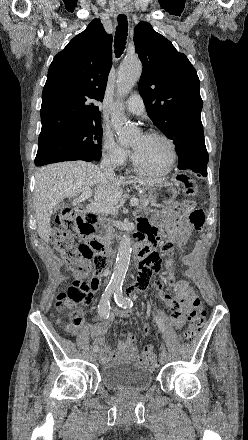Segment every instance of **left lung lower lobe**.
Wrapping results in <instances>:
<instances>
[{
    "mask_svg": "<svg viewBox=\"0 0 248 440\" xmlns=\"http://www.w3.org/2000/svg\"><path fill=\"white\" fill-rule=\"evenodd\" d=\"M179 169H187V170H191L193 172L199 173L201 175H203L204 177L207 176V164H200L194 167H190V168H185V167H178Z\"/></svg>",
    "mask_w": 248,
    "mask_h": 440,
    "instance_id": "0a47b994",
    "label": "left lung lower lobe"
}]
</instances>
